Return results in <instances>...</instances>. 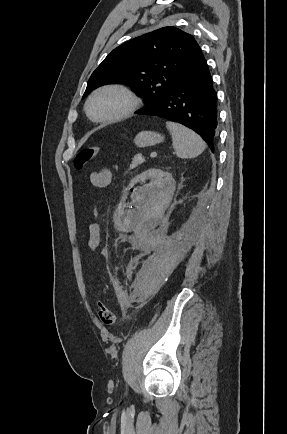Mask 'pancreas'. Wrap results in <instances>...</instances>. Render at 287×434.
I'll return each mask as SVG.
<instances>
[{
  "label": "pancreas",
  "instance_id": "1",
  "mask_svg": "<svg viewBox=\"0 0 287 434\" xmlns=\"http://www.w3.org/2000/svg\"><path fill=\"white\" fill-rule=\"evenodd\" d=\"M144 162H145V159L140 154L135 155L132 159L131 164H130V169H135Z\"/></svg>",
  "mask_w": 287,
  "mask_h": 434
}]
</instances>
